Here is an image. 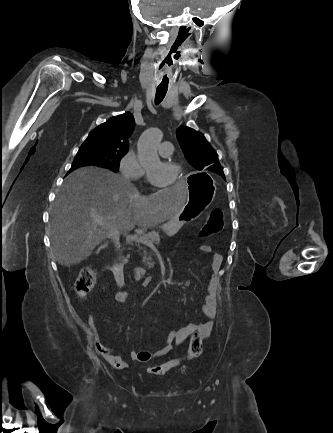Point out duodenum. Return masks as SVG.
<instances>
[{
	"mask_svg": "<svg viewBox=\"0 0 333 433\" xmlns=\"http://www.w3.org/2000/svg\"><path fill=\"white\" fill-rule=\"evenodd\" d=\"M147 269L144 267H135L132 269V276L136 279H142L145 277Z\"/></svg>",
	"mask_w": 333,
	"mask_h": 433,
	"instance_id": "410a0bca",
	"label": "duodenum"
}]
</instances>
